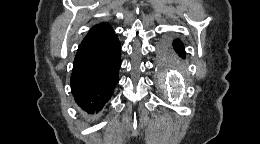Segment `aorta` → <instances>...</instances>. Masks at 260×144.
I'll use <instances>...</instances> for the list:
<instances>
[{"label":"aorta","mask_w":260,"mask_h":144,"mask_svg":"<svg viewBox=\"0 0 260 144\" xmlns=\"http://www.w3.org/2000/svg\"><path fill=\"white\" fill-rule=\"evenodd\" d=\"M166 84L172 92H177L180 88L179 79L171 70L167 73Z\"/></svg>","instance_id":"762f6f07"}]
</instances>
